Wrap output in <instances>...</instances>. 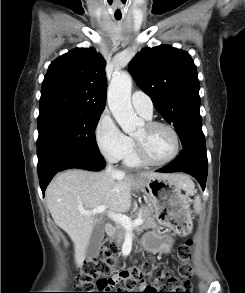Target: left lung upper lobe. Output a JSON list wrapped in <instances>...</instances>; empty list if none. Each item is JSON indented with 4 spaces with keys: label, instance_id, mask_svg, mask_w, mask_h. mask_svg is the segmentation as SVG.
I'll use <instances>...</instances> for the list:
<instances>
[{
    "label": "left lung upper lobe",
    "instance_id": "5c2ea615",
    "mask_svg": "<svg viewBox=\"0 0 245 293\" xmlns=\"http://www.w3.org/2000/svg\"><path fill=\"white\" fill-rule=\"evenodd\" d=\"M129 71L157 111L175 127L183 149L206 150L199 80L191 56L168 45L147 48L129 63Z\"/></svg>",
    "mask_w": 245,
    "mask_h": 293
}]
</instances>
